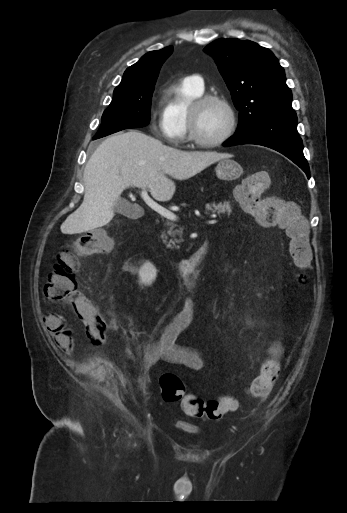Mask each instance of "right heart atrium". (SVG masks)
Masks as SVG:
<instances>
[{"instance_id": "d8ad5b80", "label": "right heart atrium", "mask_w": 347, "mask_h": 513, "mask_svg": "<svg viewBox=\"0 0 347 513\" xmlns=\"http://www.w3.org/2000/svg\"><path fill=\"white\" fill-rule=\"evenodd\" d=\"M153 130L163 138L171 141V136L168 131V125L165 118L161 115L159 118L153 121L152 123ZM172 142V141H171Z\"/></svg>"}]
</instances>
